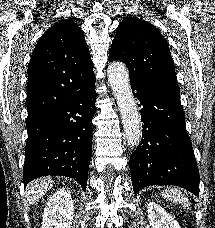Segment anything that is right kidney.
Masks as SVG:
<instances>
[{
    "instance_id": "obj_1",
    "label": "right kidney",
    "mask_w": 215,
    "mask_h": 228,
    "mask_svg": "<svg viewBox=\"0 0 215 228\" xmlns=\"http://www.w3.org/2000/svg\"><path fill=\"white\" fill-rule=\"evenodd\" d=\"M74 204L68 188H60L46 202L41 228H71Z\"/></svg>"
}]
</instances>
